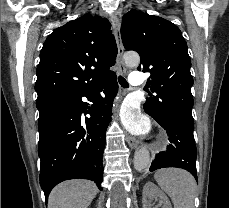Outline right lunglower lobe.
I'll return each instance as SVG.
<instances>
[{
    "label": "right lung lower lobe",
    "instance_id": "98d812e1",
    "mask_svg": "<svg viewBox=\"0 0 229 208\" xmlns=\"http://www.w3.org/2000/svg\"><path fill=\"white\" fill-rule=\"evenodd\" d=\"M104 87L105 97H99V90ZM117 90L116 76L110 77L98 88L76 97L38 121L39 178L46 202L52 188L67 179H89L102 190L105 132ZM83 96L97 100L89 111L81 100ZM82 113L91 117L84 121Z\"/></svg>",
    "mask_w": 229,
    "mask_h": 208
}]
</instances>
